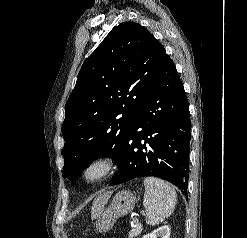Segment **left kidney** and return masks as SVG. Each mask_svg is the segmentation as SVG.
Masks as SVG:
<instances>
[{"label": "left kidney", "instance_id": "1", "mask_svg": "<svg viewBox=\"0 0 247 238\" xmlns=\"http://www.w3.org/2000/svg\"><path fill=\"white\" fill-rule=\"evenodd\" d=\"M170 238V228L165 225L154 230L152 233L144 235L143 238Z\"/></svg>", "mask_w": 247, "mask_h": 238}]
</instances>
